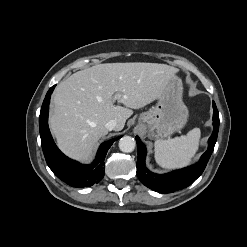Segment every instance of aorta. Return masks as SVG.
<instances>
[{
  "instance_id": "aorta-1",
  "label": "aorta",
  "mask_w": 247,
  "mask_h": 247,
  "mask_svg": "<svg viewBox=\"0 0 247 247\" xmlns=\"http://www.w3.org/2000/svg\"><path fill=\"white\" fill-rule=\"evenodd\" d=\"M136 147V142L131 136H124L119 141V148L122 152L130 153Z\"/></svg>"
}]
</instances>
